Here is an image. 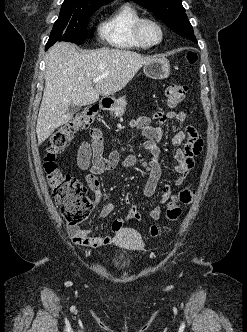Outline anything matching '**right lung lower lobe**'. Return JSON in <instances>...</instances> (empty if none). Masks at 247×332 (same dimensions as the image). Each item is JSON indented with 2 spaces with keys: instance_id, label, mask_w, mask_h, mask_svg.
Returning a JSON list of instances; mask_svg holds the SVG:
<instances>
[{
  "instance_id": "98d812e1",
  "label": "right lung lower lobe",
  "mask_w": 247,
  "mask_h": 332,
  "mask_svg": "<svg viewBox=\"0 0 247 332\" xmlns=\"http://www.w3.org/2000/svg\"><path fill=\"white\" fill-rule=\"evenodd\" d=\"M50 46H52V45H48V44H47L46 47H45V49L47 50Z\"/></svg>"
}]
</instances>
